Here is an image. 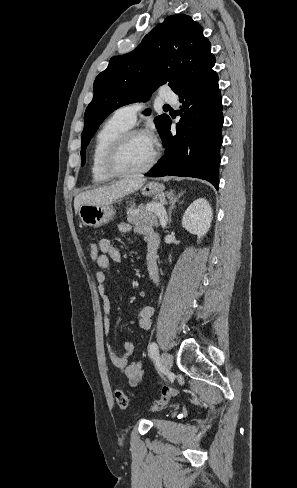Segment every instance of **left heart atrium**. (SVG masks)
Returning <instances> with one entry per match:
<instances>
[{"label": "left heart atrium", "mask_w": 297, "mask_h": 488, "mask_svg": "<svg viewBox=\"0 0 297 488\" xmlns=\"http://www.w3.org/2000/svg\"><path fill=\"white\" fill-rule=\"evenodd\" d=\"M146 137L148 138V140L150 141V143L156 147L157 144H158V138H157V135L155 133L154 130H151L149 131L147 134H146Z\"/></svg>", "instance_id": "1"}]
</instances>
